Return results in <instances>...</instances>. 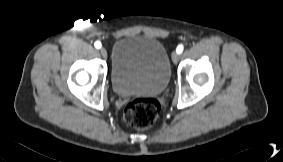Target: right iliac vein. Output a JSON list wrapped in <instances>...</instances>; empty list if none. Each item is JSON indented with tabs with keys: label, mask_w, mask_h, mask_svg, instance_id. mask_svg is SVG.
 <instances>
[{
	"label": "right iliac vein",
	"mask_w": 283,
	"mask_h": 162,
	"mask_svg": "<svg viewBox=\"0 0 283 162\" xmlns=\"http://www.w3.org/2000/svg\"><path fill=\"white\" fill-rule=\"evenodd\" d=\"M100 53H101V55H102L104 58L107 57V51H106V49H105L104 47L100 48Z\"/></svg>",
	"instance_id": "1"
}]
</instances>
